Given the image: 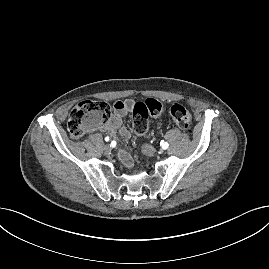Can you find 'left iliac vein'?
Here are the masks:
<instances>
[{"label": "left iliac vein", "mask_w": 269, "mask_h": 269, "mask_svg": "<svg viewBox=\"0 0 269 269\" xmlns=\"http://www.w3.org/2000/svg\"><path fill=\"white\" fill-rule=\"evenodd\" d=\"M146 149H145V154L146 155H148V156H153L154 155V150H153V148L151 147V146H149V145H146V147H145Z\"/></svg>", "instance_id": "4c4485c4"}]
</instances>
